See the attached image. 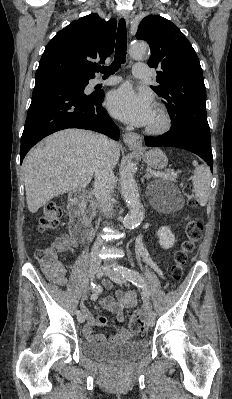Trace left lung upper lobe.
Returning a JSON list of instances; mask_svg holds the SVG:
<instances>
[{
    "label": "left lung upper lobe",
    "instance_id": "left-lung-upper-lobe-1",
    "mask_svg": "<svg viewBox=\"0 0 232 399\" xmlns=\"http://www.w3.org/2000/svg\"><path fill=\"white\" fill-rule=\"evenodd\" d=\"M136 38L151 48L148 65L158 68V86L151 88L162 98L172 120V130L189 131L210 140L206 114V88L199 59L180 29L158 16L145 17Z\"/></svg>",
    "mask_w": 232,
    "mask_h": 399
}]
</instances>
